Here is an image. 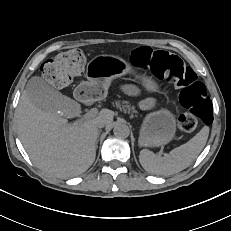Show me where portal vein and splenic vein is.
Returning <instances> with one entry per match:
<instances>
[{"label": "portal vein and splenic vein", "instance_id": "1", "mask_svg": "<svg viewBox=\"0 0 231 231\" xmlns=\"http://www.w3.org/2000/svg\"><path fill=\"white\" fill-rule=\"evenodd\" d=\"M97 114H98V110L96 108H92L90 111H88L82 116V120L93 118L97 116Z\"/></svg>", "mask_w": 231, "mask_h": 231}]
</instances>
